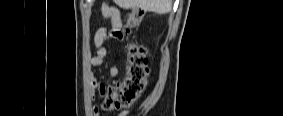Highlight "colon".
<instances>
[{"label":"colon","mask_w":283,"mask_h":116,"mask_svg":"<svg viewBox=\"0 0 283 116\" xmlns=\"http://www.w3.org/2000/svg\"><path fill=\"white\" fill-rule=\"evenodd\" d=\"M143 18L142 9H132L126 16L123 34L131 36L141 25ZM125 52L128 57V66L124 80L115 86L107 85L99 88L101 108L105 111L131 106L145 90L147 77L145 49L135 41H130L125 46Z\"/></svg>","instance_id":"5ec220e1"}]
</instances>
